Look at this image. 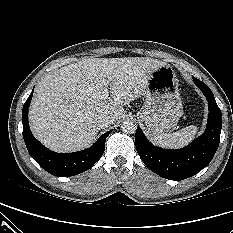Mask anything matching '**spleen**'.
Returning <instances> with one entry per match:
<instances>
[{
    "label": "spleen",
    "mask_w": 233,
    "mask_h": 233,
    "mask_svg": "<svg viewBox=\"0 0 233 233\" xmlns=\"http://www.w3.org/2000/svg\"><path fill=\"white\" fill-rule=\"evenodd\" d=\"M198 128L190 125L174 133H164L154 136L157 145L164 148L178 149L188 145L196 136Z\"/></svg>",
    "instance_id": "spleen-1"
}]
</instances>
